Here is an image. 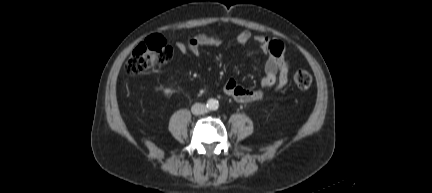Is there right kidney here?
Masks as SVG:
<instances>
[{"mask_svg":"<svg viewBox=\"0 0 432 193\" xmlns=\"http://www.w3.org/2000/svg\"><path fill=\"white\" fill-rule=\"evenodd\" d=\"M171 92H172V90H171L170 88H165V89L163 90V93H164L166 96L170 95Z\"/></svg>","mask_w":432,"mask_h":193,"instance_id":"ca27d5eb","label":"right kidney"}]
</instances>
